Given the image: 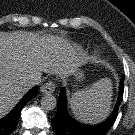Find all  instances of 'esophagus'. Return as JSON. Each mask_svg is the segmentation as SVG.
Here are the masks:
<instances>
[{"instance_id": "1", "label": "esophagus", "mask_w": 135, "mask_h": 135, "mask_svg": "<svg viewBox=\"0 0 135 135\" xmlns=\"http://www.w3.org/2000/svg\"><path fill=\"white\" fill-rule=\"evenodd\" d=\"M55 84L52 81H48L46 83H44L41 87H40V91L43 94H51L55 91Z\"/></svg>"}]
</instances>
